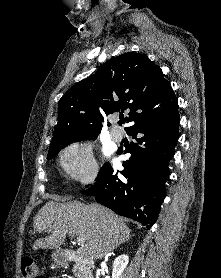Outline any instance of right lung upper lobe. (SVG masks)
<instances>
[{
	"instance_id": "obj_1",
	"label": "right lung upper lobe",
	"mask_w": 221,
	"mask_h": 278,
	"mask_svg": "<svg viewBox=\"0 0 221 278\" xmlns=\"http://www.w3.org/2000/svg\"><path fill=\"white\" fill-rule=\"evenodd\" d=\"M177 108V98L159 66L144 54L127 52L62 96L50 148L98 135L104 116L114 112L130 110L125 118L130 125L127 131Z\"/></svg>"
}]
</instances>
